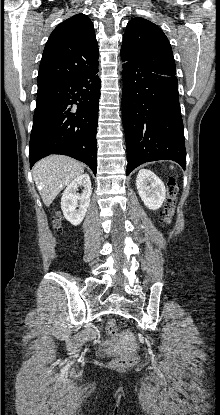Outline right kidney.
Returning a JSON list of instances; mask_svg holds the SVG:
<instances>
[{"instance_id": "1", "label": "right kidney", "mask_w": 220, "mask_h": 415, "mask_svg": "<svg viewBox=\"0 0 220 415\" xmlns=\"http://www.w3.org/2000/svg\"><path fill=\"white\" fill-rule=\"evenodd\" d=\"M79 186L84 187L81 195L76 193ZM91 194V180L88 174L77 177L64 190L61 198V209L66 220L72 225L77 226L84 219L90 204ZM77 207L79 208L77 209Z\"/></svg>"}]
</instances>
